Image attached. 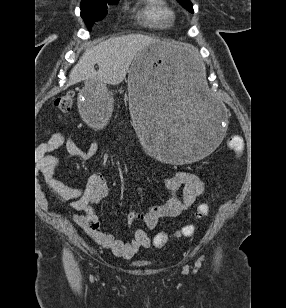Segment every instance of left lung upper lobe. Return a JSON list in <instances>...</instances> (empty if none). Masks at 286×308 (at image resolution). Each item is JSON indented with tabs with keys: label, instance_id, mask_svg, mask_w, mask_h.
<instances>
[{
	"label": "left lung upper lobe",
	"instance_id": "left-lung-upper-lobe-1",
	"mask_svg": "<svg viewBox=\"0 0 286 308\" xmlns=\"http://www.w3.org/2000/svg\"><path fill=\"white\" fill-rule=\"evenodd\" d=\"M184 8H186L189 12L193 13V5L190 0H177Z\"/></svg>",
	"mask_w": 286,
	"mask_h": 308
}]
</instances>
